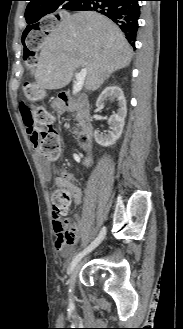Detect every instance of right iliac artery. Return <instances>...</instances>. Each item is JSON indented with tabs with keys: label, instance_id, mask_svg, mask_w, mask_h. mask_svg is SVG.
<instances>
[{
	"label": "right iliac artery",
	"instance_id": "82829eb1",
	"mask_svg": "<svg viewBox=\"0 0 183 329\" xmlns=\"http://www.w3.org/2000/svg\"><path fill=\"white\" fill-rule=\"evenodd\" d=\"M106 235V228L103 227L98 235V237L86 248L84 249L82 252H80L78 255H76L71 264H70V273L73 271V269L75 268L76 264L81 260V258L87 254L88 252H90L91 250H93L105 237ZM73 304L72 302L70 303V307L72 308Z\"/></svg>",
	"mask_w": 183,
	"mask_h": 329
}]
</instances>
